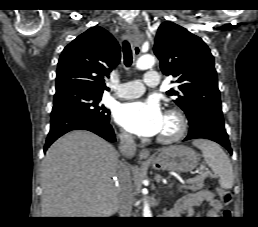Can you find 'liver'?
Wrapping results in <instances>:
<instances>
[{"mask_svg":"<svg viewBox=\"0 0 258 227\" xmlns=\"http://www.w3.org/2000/svg\"><path fill=\"white\" fill-rule=\"evenodd\" d=\"M119 164L115 148L92 132L76 130L59 138L42 162V217L115 214L122 181Z\"/></svg>","mask_w":258,"mask_h":227,"instance_id":"obj_1","label":"liver"}]
</instances>
